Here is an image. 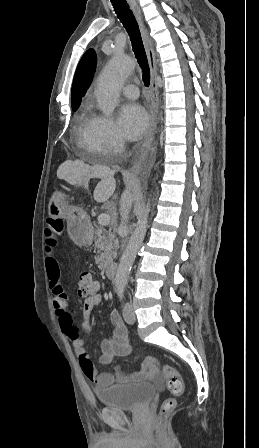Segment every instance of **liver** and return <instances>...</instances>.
<instances>
[{
    "instance_id": "liver-1",
    "label": "liver",
    "mask_w": 259,
    "mask_h": 448,
    "mask_svg": "<svg viewBox=\"0 0 259 448\" xmlns=\"http://www.w3.org/2000/svg\"><path fill=\"white\" fill-rule=\"evenodd\" d=\"M57 176L59 178H63V180H67V182H82L84 186H87L90 178H100L99 170H95L92 166H86L82 160H76V162H65L63 168L58 170ZM113 172H108L107 176L102 178V182L98 184L97 190H101V188H115V180H113ZM63 194H59L58 198L62 200ZM109 198V194H107ZM106 202V200H105Z\"/></svg>"
}]
</instances>
